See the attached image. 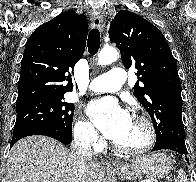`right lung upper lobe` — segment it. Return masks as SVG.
Wrapping results in <instances>:
<instances>
[{
	"label": "right lung upper lobe",
	"mask_w": 196,
	"mask_h": 182,
	"mask_svg": "<svg viewBox=\"0 0 196 182\" xmlns=\"http://www.w3.org/2000/svg\"><path fill=\"white\" fill-rule=\"evenodd\" d=\"M87 34V18L73 10L39 26L25 45L16 104L72 91L70 71L84 53Z\"/></svg>",
	"instance_id": "cb5924a9"
}]
</instances>
